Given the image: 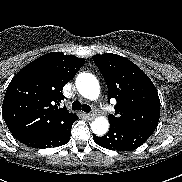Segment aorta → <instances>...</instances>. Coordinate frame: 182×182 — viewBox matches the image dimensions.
<instances>
[{
  "label": "aorta",
  "mask_w": 182,
  "mask_h": 182,
  "mask_svg": "<svg viewBox=\"0 0 182 182\" xmlns=\"http://www.w3.org/2000/svg\"><path fill=\"white\" fill-rule=\"evenodd\" d=\"M76 87L79 93L89 99L96 100L100 94V86L97 78L91 73H81L76 78ZM109 128L108 119L104 116L96 118L91 123V129L94 134L102 136L107 133Z\"/></svg>",
  "instance_id": "762f6f07"
}]
</instances>
